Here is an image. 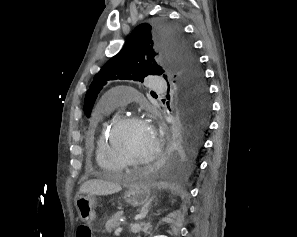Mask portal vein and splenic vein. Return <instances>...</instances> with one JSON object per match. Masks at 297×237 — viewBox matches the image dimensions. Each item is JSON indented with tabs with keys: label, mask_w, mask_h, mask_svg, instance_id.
Returning a JSON list of instances; mask_svg holds the SVG:
<instances>
[{
	"label": "portal vein and splenic vein",
	"mask_w": 297,
	"mask_h": 237,
	"mask_svg": "<svg viewBox=\"0 0 297 237\" xmlns=\"http://www.w3.org/2000/svg\"><path fill=\"white\" fill-rule=\"evenodd\" d=\"M121 231H122V227L117 228L115 230V235H119Z\"/></svg>",
	"instance_id": "portal-vein-and-splenic-vein-1"
}]
</instances>
